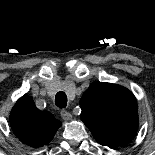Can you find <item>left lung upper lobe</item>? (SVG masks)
Wrapping results in <instances>:
<instances>
[{
  "label": "left lung upper lobe",
  "instance_id": "obj_1",
  "mask_svg": "<svg viewBox=\"0 0 155 155\" xmlns=\"http://www.w3.org/2000/svg\"><path fill=\"white\" fill-rule=\"evenodd\" d=\"M81 120L101 145L125 146L138 129V107L127 88L111 83H93L80 100Z\"/></svg>",
  "mask_w": 155,
  "mask_h": 155
}]
</instances>
